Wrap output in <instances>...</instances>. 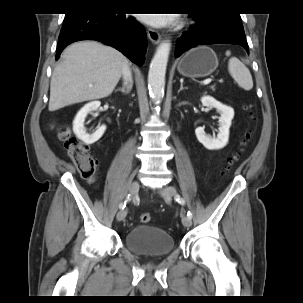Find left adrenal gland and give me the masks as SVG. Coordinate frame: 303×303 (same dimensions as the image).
<instances>
[{
	"mask_svg": "<svg viewBox=\"0 0 303 303\" xmlns=\"http://www.w3.org/2000/svg\"><path fill=\"white\" fill-rule=\"evenodd\" d=\"M183 89H185V88L183 87V84L181 83V84H180V89L178 90V93H179L180 91H182Z\"/></svg>",
	"mask_w": 303,
	"mask_h": 303,
	"instance_id": "a2214340",
	"label": "left adrenal gland"
}]
</instances>
